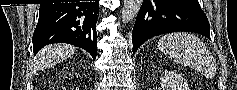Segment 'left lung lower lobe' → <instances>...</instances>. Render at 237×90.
<instances>
[{
    "mask_svg": "<svg viewBox=\"0 0 237 90\" xmlns=\"http://www.w3.org/2000/svg\"><path fill=\"white\" fill-rule=\"evenodd\" d=\"M175 31L210 39L209 22L198 0H144L133 27V54L146 40Z\"/></svg>",
    "mask_w": 237,
    "mask_h": 90,
    "instance_id": "left-lung-lower-lobe-1",
    "label": "left lung lower lobe"
}]
</instances>
